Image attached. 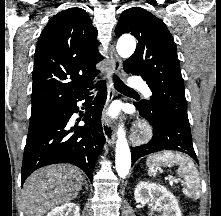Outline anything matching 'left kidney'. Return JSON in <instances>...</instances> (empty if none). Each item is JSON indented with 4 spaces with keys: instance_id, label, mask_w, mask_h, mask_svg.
Segmentation results:
<instances>
[{
    "instance_id": "obj_1",
    "label": "left kidney",
    "mask_w": 221,
    "mask_h": 216,
    "mask_svg": "<svg viewBox=\"0 0 221 216\" xmlns=\"http://www.w3.org/2000/svg\"><path fill=\"white\" fill-rule=\"evenodd\" d=\"M135 201L142 205L154 202L163 209L161 216H181V211L175 196L164 186L142 181L134 191Z\"/></svg>"
}]
</instances>
